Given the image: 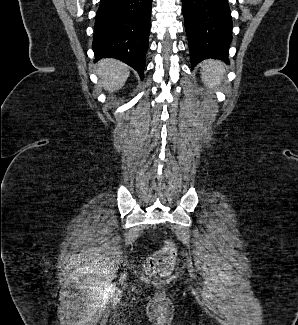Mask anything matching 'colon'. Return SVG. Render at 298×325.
<instances>
[{"label":"colon","instance_id":"1","mask_svg":"<svg viewBox=\"0 0 298 325\" xmlns=\"http://www.w3.org/2000/svg\"><path fill=\"white\" fill-rule=\"evenodd\" d=\"M175 250L171 245L153 254L146 262L145 268L149 275L167 276L174 268Z\"/></svg>","mask_w":298,"mask_h":325}]
</instances>
